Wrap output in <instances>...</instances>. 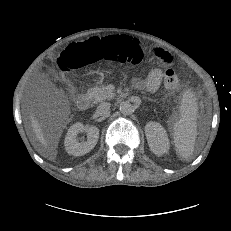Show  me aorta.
I'll use <instances>...</instances> for the list:
<instances>
[{"label":"aorta","instance_id":"obj_1","mask_svg":"<svg viewBox=\"0 0 231 231\" xmlns=\"http://www.w3.org/2000/svg\"><path fill=\"white\" fill-rule=\"evenodd\" d=\"M120 111L124 115H130L133 112V106L129 102H122L120 104Z\"/></svg>","mask_w":231,"mask_h":231}]
</instances>
